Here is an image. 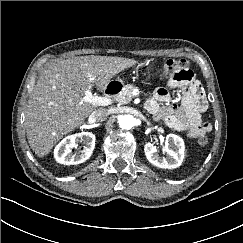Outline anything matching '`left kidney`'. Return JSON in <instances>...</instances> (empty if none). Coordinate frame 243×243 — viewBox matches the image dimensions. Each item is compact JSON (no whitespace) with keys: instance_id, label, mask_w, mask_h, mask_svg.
I'll return each mask as SVG.
<instances>
[{"instance_id":"5707ae66","label":"left kidney","mask_w":243,"mask_h":243,"mask_svg":"<svg viewBox=\"0 0 243 243\" xmlns=\"http://www.w3.org/2000/svg\"><path fill=\"white\" fill-rule=\"evenodd\" d=\"M184 141L175 134H168L165 140L166 156L161 157L156 146L147 142L144 146V152L147 160L154 166L163 169H174L181 165L184 158Z\"/></svg>"}]
</instances>
